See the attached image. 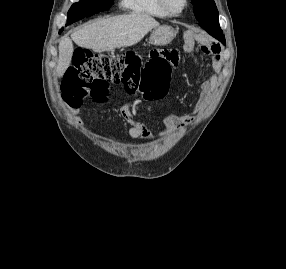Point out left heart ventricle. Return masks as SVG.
I'll use <instances>...</instances> for the list:
<instances>
[{"instance_id": "1", "label": "left heart ventricle", "mask_w": 286, "mask_h": 269, "mask_svg": "<svg viewBox=\"0 0 286 269\" xmlns=\"http://www.w3.org/2000/svg\"><path fill=\"white\" fill-rule=\"evenodd\" d=\"M169 5L173 10L179 11L183 6V0H169Z\"/></svg>"}]
</instances>
